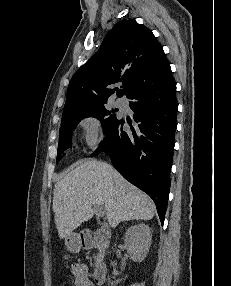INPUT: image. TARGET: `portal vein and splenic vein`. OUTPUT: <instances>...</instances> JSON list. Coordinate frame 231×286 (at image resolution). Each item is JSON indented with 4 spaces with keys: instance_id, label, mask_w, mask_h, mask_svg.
Masks as SVG:
<instances>
[{
    "instance_id": "portal-vein-and-splenic-vein-1",
    "label": "portal vein and splenic vein",
    "mask_w": 231,
    "mask_h": 286,
    "mask_svg": "<svg viewBox=\"0 0 231 286\" xmlns=\"http://www.w3.org/2000/svg\"><path fill=\"white\" fill-rule=\"evenodd\" d=\"M93 210L96 213V215H98L99 217H103L105 215V210L102 206L95 205L93 207Z\"/></svg>"
}]
</instances>
